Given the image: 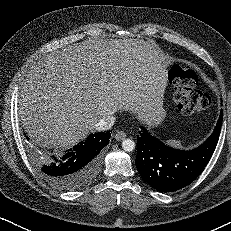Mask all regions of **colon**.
<instances>
[{"instance_id": "5ec220e1", "label": "colon", "mask_w": 231, "mask_h": 231, "mask_svg": "<svg viewBox=\"0 0 231 231\" xmlns=\"http://www.w3.org/2000/svg\"><path fill=\"white\" fill-rule=\"evenodd\" d=\"M168 76L174 87L175 101L182 113H200L210 106L211 98L194 90L198 82V75L195 71L180 66H172Z\"/></svg>"}]
</instances>
